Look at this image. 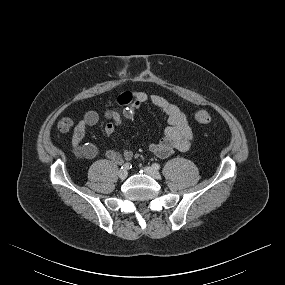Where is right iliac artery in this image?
Masks as SVG:
<instances>
[{"mask_svg":"<svg viewBox=\"0 0 285 285\" xmlns=\"http://www.w3.org/2000/svg\"><path fill=\"white\" fill-rule=\"evenodd\" d=\"M131 167H132V166H131L130 163H125V164L121 167V169L129 170Z\"/></svg>","mask_w":285,"mask_h":285,"instance_id":"82829eb1","label":"right iliac artery"}]
</instances>
